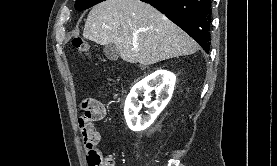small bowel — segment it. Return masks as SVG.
<instances>
[{"mask_svg": "<svg viewBox=\"0 0 277 166\" xmlns=\"http://www.w3.org/2000/svg\"><path fill=\"white\" fill-rule=\"evenodd\" d=\"M82 109H83V114L80 116L78 123L79 126H81V117L85 116L86 113L89 111L91 114V122L93 124L94 121H99L103 119L106 115V108L105 106L97 99H87L82 103ZM100 136L97 133L96 140L93 144H91L88 140L85 139V144H86V153H87V160L89 163L90 156L94 151L97 150V144L99 143Z\"/></svg>", "mask_w": 277, "mask_h": 166, "instance_id": "c3829d8e", "label": "small bowel"}]
</instances>
